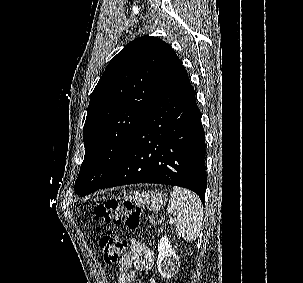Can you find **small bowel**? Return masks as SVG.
Returning a JSON list of instances; mask_svg holds the SVG:
<instances>
[{"mask_svg": "<svg viewBox=\"0 0 303 283\" xmlns=\"http://www.w3.org/2000/svg\"><path fill=\"white\" fill-rule=\"evenodd\" d=\"M152 262L153 254L151 250L141 242L132 239L129 251L120 259V275L116 283H131L134 270H147L152 266Z\"/></svg>", "mask_w": 303, "mask_h": 283, "instance_id": "c3829d8e", "label": "small bowel"}]
</instances>
